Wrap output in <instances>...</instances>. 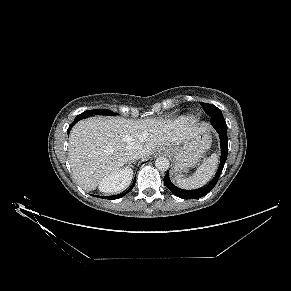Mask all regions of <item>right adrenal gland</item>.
Returning <instances> with one entry per match:
<instances>
[{
	"label": "right adrenal gland",
	"mask_w": 291,
	"mask_h": 291,
	"mask_svg": "<svg viewBox=\"0 0 291 291\" xmlns=\"http://www.w3.org/2000/svg\"><path fill=\"white\" fill-rule=\"evenodd\" d=\"M132 163H134V161L129 162L128 167H132V165H131Z\"/></svg>",
	"instance_id": "right-adrenal-gland-1"
}]
</instances>
